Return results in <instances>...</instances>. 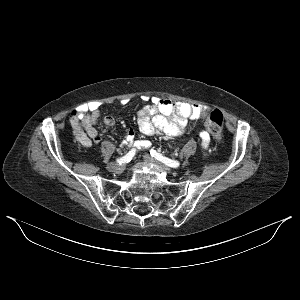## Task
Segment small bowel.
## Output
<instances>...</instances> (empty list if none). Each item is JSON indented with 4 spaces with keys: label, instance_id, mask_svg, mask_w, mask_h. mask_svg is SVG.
Returning a JSON list of instances; mask_svg holds the SVG:
<instances>
[{
    "label": "small bowel",
    "instance_id": "obj_1",
    "mask_svg": "<svg viewBox=\"0 0 300 300\" xmlns=\"http://www.w3.org/2000/svg\"><path fill=\"white\" fill-rule=\"evenodd\" d=\"M149 104L141 107L137 113V125L141 134L152 136L164 134L170 137L182 135L188 126L196 121L203 106L190 104L184 101H172L166 98L150 96L145 98ZM127 99H123L121 104L126 105ZM77 117L82 120L84 132L74 130L78 141L84 147H90L93 142L98 141V131L96 125L101 118L100 104L96 101L89 102L79 107L76 112ZM105 125L113 126L115 119L107 115L103 119ZM201 144L207 148L210 144V134L203 130L199 133ZM124 145H135L138 148L146 149L150 146L147 140H135V133L129 129L122 142Z\"/></svg>",
    "mask_w": 300,
    "mask_h": 300
}]
</instances>
